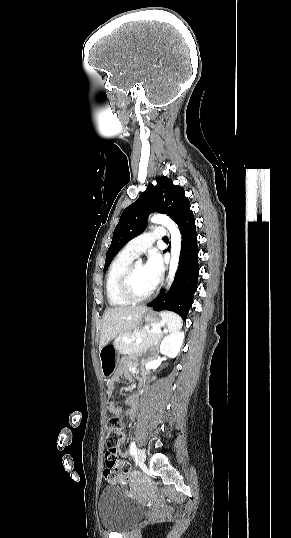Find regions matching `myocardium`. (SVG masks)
Wrapping results in <instances>:
<instances>
[{
	"label": "myocardium",
	"instance_id": "obj_1",
	"mask_svg": "<svg viewBox=\"0 0 291 538\" xmlns=\"http://www.w3.org/2000/svg\"><path fill=\"white\" fill-rule=\"evenodd\" d=\"M138 263H131L124 271L119 280V290L121 295L130 302H142L155 293L156 286H154L148 293L144 295H138L133 288V275L135 267Z\"/></svg>",
	"mask_w": 291,
	"mask_h": 538
}]
</instances>
